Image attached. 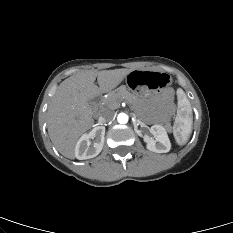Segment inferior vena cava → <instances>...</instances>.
Wrapping results in <instances>:
<instances>
[{
    "instance_id": "1",
    "label": "inferior vena cava",
    "mask_w": 233,
    "mask_h": 233,
    "mask_svg": "<svg viewBox=\"0 0 233 233\" xmlns=\"http://www.w3.org/2000/svg\"><path fill=\"white\" fill-rule=\"evenodd\" d=\"M114 118V112L110 110L104 111L101 116L99 117V123H107Z\"/></svg>"
}]
</instances>
